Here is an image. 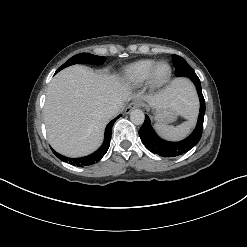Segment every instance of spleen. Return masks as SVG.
Segmentation results:
<instances>
[{
	"label": "spleen",
	"instance_id": "1",
	"mask_svg": "<svg viewBox=\"0 0 247 247\" xmlns=\"http://www.w3.org/2000/svg\"><path fill=\"white\" fill-rule=\"evenodd\" d=\"M192 126V122L187 121L175 127L166 124H156L155 129L163 138L171 141H178L188 136Z\"/></svg>",
	"mask_w": 247,
	"mask_h": 247
}]
</instances>
